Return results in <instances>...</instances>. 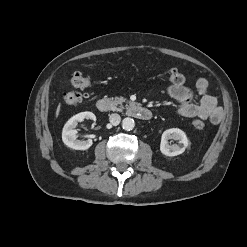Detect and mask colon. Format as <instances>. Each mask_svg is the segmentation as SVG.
Listing matches in <instances>:
<instances>
[{"instance_id":"colon-1","label":"colon","mask_w":247,"mask_h":247,"mask_svg":"<svg viewBox=\"0 0 247 247\" xmlns=\"http://www.w3.org/2000/svg\"><path fill=\"white\" fill-rule=\"evenodd\" d=\"M168 80L173 85H183L185 77L178 71H172L168 75ZM71 84L73 88L63 93V99L66 103L75 105L80 103L87 96L91 81L82 73L77 72L72 77ZM204 126L205 123L199 118L193 121V127L197 130H202Z\"/></svg>"}]
</instances>
